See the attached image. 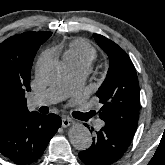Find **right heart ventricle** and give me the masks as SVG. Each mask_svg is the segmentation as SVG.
I'll use <instances>...</instances> for the list:
<instances>
[{"mask_svg":"<svg viewBox=\"0 0 165 165\" xmlns=\"http://www.w3.org/2000/svg\"><path fill=\"white\" fill-rule=\"evenodd\" d=\"M97 57L96 49L84 39H74L63 48L64 61L70 66L88 68Z\"/></svg>","mask_w":165,"mask_h":165,"instance_id":"right-heart-ventricle-1","label":"right heart ventricle"}]
</instances>
